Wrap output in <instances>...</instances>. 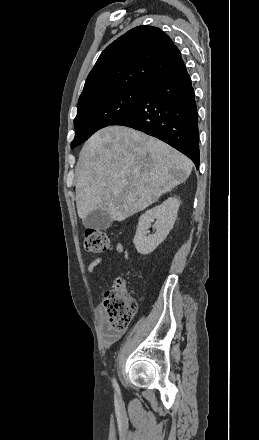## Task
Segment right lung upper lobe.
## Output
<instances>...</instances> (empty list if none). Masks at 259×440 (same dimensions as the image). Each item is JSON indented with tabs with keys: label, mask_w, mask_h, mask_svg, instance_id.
<instances>
[{
	"label": "right lung upper lobe",
	"mask_w": 259,
	"mask_h": 440,
	"mask_svg": "<svg viewBox=\"0 0 259 440\" xmlns=\"http://www.w3.org/2000/svg\"><path fill=\"white\" fill-rule=\"evenodd\" d=\"M180 60L179 49L162 30L135 27L101 53L86 79L78 107L116 90L149 87Z\"/></svg>",
	"instance_id": "right-lung-upper-lobe-1"
}]
</instances>
